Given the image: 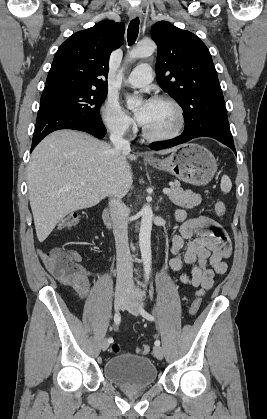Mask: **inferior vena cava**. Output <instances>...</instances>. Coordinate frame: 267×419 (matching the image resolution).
<instances>
[{"instance_id":"1","label":"inferior vena cava","mask_w":267,"mask_h":419,"mask_svg":"<svg viewBox=\"0 0 267 419\" xmlns=\"http://www.w3.org/2000/svg\"><path fill=\"white\" fill-rule=\"evenodd\" d=\"M125 130L116 128L110 134V140L116 150L130 151L129 141L123 138ZM110 215L113 222V233L117 257V289L129 290L133 287L132 258L128 244L127 207L121 197L111 195L109 200Z\"/></svg>"}]
</instances>
